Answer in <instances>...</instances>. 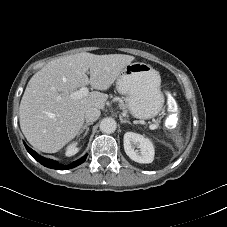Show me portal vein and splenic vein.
I'll list each match as a JSON object with an SVG mask.
<instances>
[{
    "label": "portal vein and splenic vein",
    "instance_id": "1",
    "mask_svg": "<svg viewBox=\"0 0 227 227\" xmlns=\"http://www.w3.org/2000/svg\"><path fill=\"white\" fill-rule=\"evenodd\" d=\"M88 94H89V90L87 87L84 86V87H81L78 91L72 92L71 97L73 99H81L82 97H85ZM157 127H158V125H156V124L149 125V128L151 130H155V129H157Z\"/></svg>",
    "mask_w": 227,
    "mask_h": 227
}]
</instances>
